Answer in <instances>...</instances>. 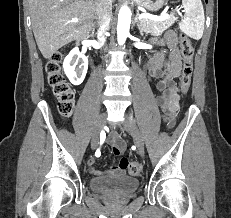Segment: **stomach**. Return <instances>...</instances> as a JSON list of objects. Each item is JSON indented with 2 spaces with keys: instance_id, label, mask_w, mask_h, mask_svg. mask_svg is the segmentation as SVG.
Returning a JSON list of instances; mask_svg holds the SVG:
<instances>
[{
  "instance_id": "obj_1",
  "label": "stomach",
  "mask_w": 231,
  "mask_h": 218,
  "mask_svg": "<svg viewBox=\"0 0 231 218\" xmlns=\"http://www.w3.org/2000/svg\"><path fill=\"white\" fill-rule=\"evenodd\" d=\"M138 6L146 9L149 12L160 10L165 4V0H133Z\"/></svg>"
}]
</instances>
